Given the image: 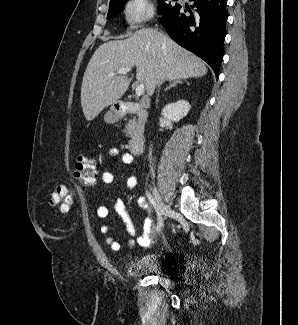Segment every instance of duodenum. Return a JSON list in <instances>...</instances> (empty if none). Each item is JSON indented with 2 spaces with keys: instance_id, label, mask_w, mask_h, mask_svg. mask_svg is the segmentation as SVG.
<instances>
[{
  "instance_id": "1",
  "label": "duodenum",
  "mask_w": 298,
  "mask_h": 325,
  "mask_svg": "<svg viewBox=\"0 0 298 325\" xmlns=\"http://www.w3.org/2000/svg\"><path fill=\"white\" fill-rule=\"evenodd\" d=\"M150 104L148 98H143L140 103L124 102L117 107L119 116H125L130 113L141 114ZM145 147V136L141 133L134 134L129 141L130 151L137 155L143 152Z\"/></svg>"
}]
</instances>
